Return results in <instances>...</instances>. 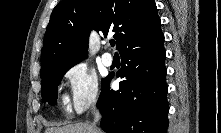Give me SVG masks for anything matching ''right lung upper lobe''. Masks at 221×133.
<instances>
[{"instance_id":"obj_1","label":"right lung upper lobe","mask_w":221,"mask_h":133,"mask_svg":"<svg viewBox=\"0 0 221 133\" xmlns=\"http://www.w3.org/2000/svg\"><path fill=\"white\" fill-rule=\"evenodd\" d=\"M92 29L115 32L119 52L128 44L162 34L154 0H64L53 10L41 53V71L49 65L87 57Z\"/></svg>"}]
</instances>
